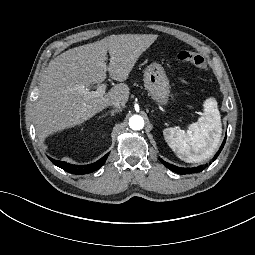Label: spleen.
Listing matches in <instances>:
<instances>
[{"label": "spleen", "instance_id": "spleen-1", "mask_svg": "<svg viewBox=\"0 0 255 255\" xmlns=\"http://www.w3.org/2000/svg\"><path fill=\"white\" fill-rule=\"evenodd\" d=\"M201 122L189 124L185 131L166 128L164 139L171 150L186 162H199L214 154L221 134L220 114L217 102L210 97L203 103ZM187 151V153H183Z\"/></svg>", "mask_w": 255, "mask_h": 255}]
</instances>
